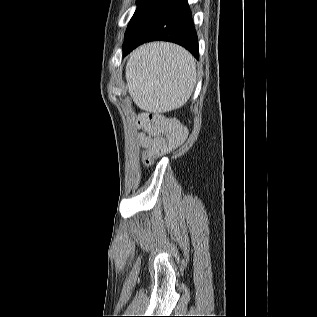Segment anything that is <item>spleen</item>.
<instances>
[{
	"instance_id": "1",
	"label": "spleen",
	"mask_w": 317,
	"mask_h": 317,
	"mask_svg": "<svg viewBox=\"0 0 317 317\" xmlns=\"http://www.w3.org/2000/svg\"><path fill=\"white\" fill-rule=\"evenodd\" d=\"M128 91L135 104L149 112L183 106L196 84L192 55L170 43H149L136 49L126 66Z\"/></svg>"
}]
</instances>
